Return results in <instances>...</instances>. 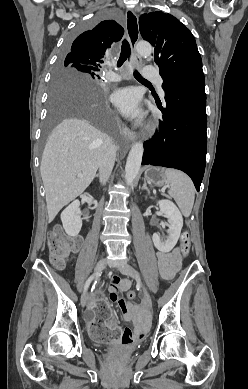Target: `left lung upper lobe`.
Returning <instances> with one entry per match:
<instances>
[{"label":"left lung upper lobe","instance_id":"1","mask_svg":"<svg viewBox=\"0 0 248 389\" xmlns=\"http://www.w3.org/2000/svg\"><path fill=\"white\" fill-rule=\"evenodd\" d=\"M139 30L142 38L154 47L163 90L184 78L204 77L194 36L178 19L161 11L143 14Z\"/></svg>","mask_w":248,"mask_h":389}]
</instances>
